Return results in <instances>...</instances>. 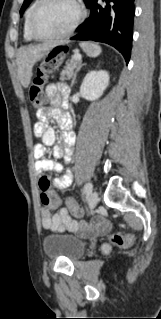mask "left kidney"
Masks as SVG:
<instances>
[{
  "instance_id": "1",
  "label": "left kidney",
  "mask_w": 161,
  "mask_h": 319,
  "mask_svg": "<svg viewBox=\"0 0 161 319\" xmlns=\"http://www.w3.org/2000/svg\"><path fill=\"white\" fill-rule=\"evenodd\" d=\"M109 85V74L107 71H90L80 86V93L86 100H96Z\"/></svg>"
}]
</instances>
